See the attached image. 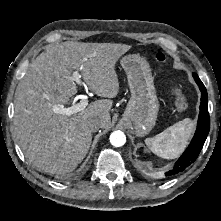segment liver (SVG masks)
Masks as SVG:
<instances>
[{
	"instance_id": "liver-1",
	"label": "liver",
	"mask_w": 221,
	"mask_h": 221,
	"mask_svg": "<svg viewBox=\"0 0 221 221\" xmlns=\"http://www.w3.org/2000/svg\"><path fill=\"white\" fill-rule=\"evenodd\" d=\"M131 49L119 43L63 42L48 47L29 66L15 92L14 129L19 145L34 166L50 173H69L88 153V121L111 123L112 100L119 91L118 59ZM82 68L88 88L100 97L71 116L55 113L77 93L72 69Z\"/></svg>"
}]
</instances>
